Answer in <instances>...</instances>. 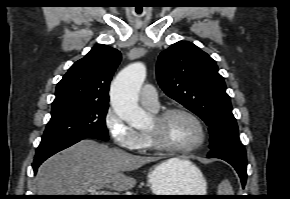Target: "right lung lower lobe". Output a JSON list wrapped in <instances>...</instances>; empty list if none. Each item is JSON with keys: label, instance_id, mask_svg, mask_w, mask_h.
Segmentation results:
<instances>
[{"label": "right lung lower lobe", "instance_id": "1", "mask_svg": "<svg viewBox=\"0 0 290 199\" xmlns=\"http://www.w3.org/2000/svg\"><path fill=\"white\" fill-rule=\"evenodd\" d=\"M82 139L79 140H75L72 142H65V143H59L56 145H50V146H45V147H38L37 151H36V155H35V159L34 162L32 164L34 173H36L38 167L40 166V164L45 161L47 158H49L50 156L54 155L55 153L70 147L71 145L79 142Z\"/></svg>", "mask_w": 290, "mask_h": 199}]
</instances>
